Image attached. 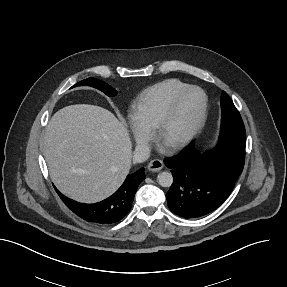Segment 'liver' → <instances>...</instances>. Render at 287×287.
<instances>
[{
	"label": "liver",
	"mask_w": 287,
	"mask_h": 287,
	"mask_svg": "<svg viewBox=\"0 0 287 287\" xmlns=\"http://www.w3.org/2000/svg\"><path fill=\"white\" fill-rule=\"evenodd\" d=\"M42 149L55 186L83 203L109 197L131 167L126 126L99 106L76 104L57 111L48 123Z\"/></svg>",
	"instance_id": "6515ba94"
}]
</instances>
